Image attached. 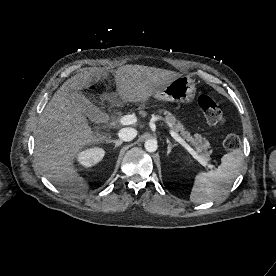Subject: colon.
<instances>
[{
  "instance_id": "5ec220e1",
  "label": "colon",
  "mask_w": 276,
  "mask_h": 276,
  "mask_svg": "<svg viewBox=\"0 0 276 276\" xmlns=\"http://www.w3.org/2000/svg\"><path fill=\"white\" fill-rule=\"evenodd\" d=\"M198 104L207 122L214 126H222L226 118L216 101L208 94H201L198 97ZM224 147L229 151H236L240 148V139L235 134H230L223 141Z\"/></svg>"
}]
</instances>
